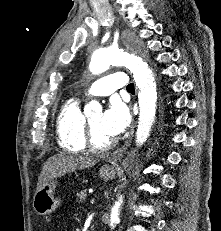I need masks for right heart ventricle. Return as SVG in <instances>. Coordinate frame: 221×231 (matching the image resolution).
<instances>
[{
	"label": "right heart ventricle",
	"mask_w": 221,
	"mask_h": 231,
	"mask_svg": "<svg viewBox=\"0 0 221 231\" xmlns=\"http://www.w3.org/2000/svg\"><path fill=\"white\" fill-rule=\"evenodd\" d=\"M84 118L77 99H70L61 107L56 120V136L63 150L77 153L87 148L84 141Z\"/></svg>",
	"instance_id": "right-heart-ventricle-1"
}]
</instances>
